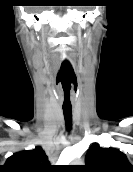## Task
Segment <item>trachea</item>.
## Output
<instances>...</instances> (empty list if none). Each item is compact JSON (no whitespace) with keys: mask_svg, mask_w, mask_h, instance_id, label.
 Masks as SVG:
<instances>
[{"mask_svg":"<svg viewBox=\"0 0 133 172\" xmlns=\"http://www.w3.org/2000/svg\"><path fill=\"white\" fill-rule=\"evenodd\" d=\"M63 114L66 122V127L68 130H70L72 127V108L63 107Z\"/></svg>","mask_w":133,"mask_h":172,"instance_id":"trachea-1","label":"trachea"}]
</instances>
